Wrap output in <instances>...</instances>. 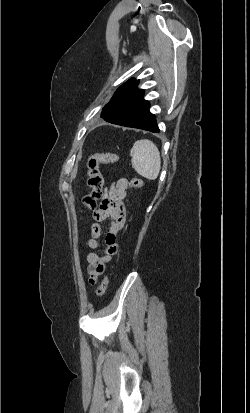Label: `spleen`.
I'll return each instance as SVG.
<instances>
[{"mask_svg":"<svg viewBox=\"0 0 250 413\" xmlns=\"http://www.w3.org/2000/svg\"><path fill=\"white\" fill-rule=\"evenodd\" d=\"M131 163L141 176L155 180L160 172L161 158L156 145L147 139L137 140L130 150Z\"/></svg>","mask_w":250,"mask_h":413,"instance_id":"3e777b00","label":"spleen"}]
</instances>
